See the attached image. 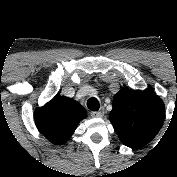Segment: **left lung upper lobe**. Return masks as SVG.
<instances>
[{
    "mask_svg": "<svg viewBox=\"0 0 177 177\" xmlns=\"http://www.w3.org/2000/svg\"><path fill=\"white\" fill-rule=\"evenodd\" d=\"M163 117V107L158 100L133 91L116 94L109 115L122 143L129 147H141L150 142L159 131Z\"/></svg>",
    "mask_w": 177,
    "mask_h": 177,
    "instance_id": "1",
    "label": "left lung upper lobe"
}]
</instances>
